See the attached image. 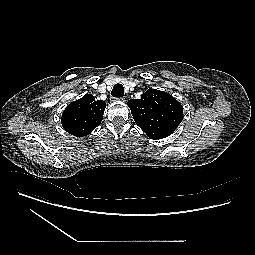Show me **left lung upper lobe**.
<instances>
[{
  "instance_id": "left-lung-upper-lobe-1",
  "label": "left lung upper lobe",
  "mask_w": 255,
  "mask_h": 255,
  "mask_svg": "<svg viewBox=\"0 0 255 255\" xmlns=\"http://www.w3.org/2000/svg\"><path fill=\"white\" fill-rule=\"evenodd\" d=\"M127 104L136 124L152 139L171 135L183 119L181 104L164 91L148 89Z\"/></svg>"
}]
</instances>
